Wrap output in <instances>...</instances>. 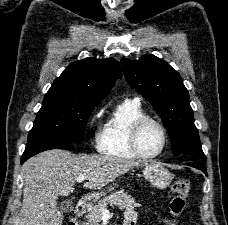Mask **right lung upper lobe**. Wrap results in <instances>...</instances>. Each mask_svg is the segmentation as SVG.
Returning <instances> with one entry per match:
<instances>
[{"label": "right lung upper lobe", "mask_w": 228, "mask_h": 225, "mask_svg": "<svg viewBox=\"0 0 228 225\" xmlns=\"http://www.w3.org/2000/svg\"><path fill=\"white\" fill-rule=\"evenodd\" d=\"M121 72L119 62L113 58H85L71 63L48 92L99 103L121 77Z\"/></svg>", "instance_id": "1"}]
</instances>
